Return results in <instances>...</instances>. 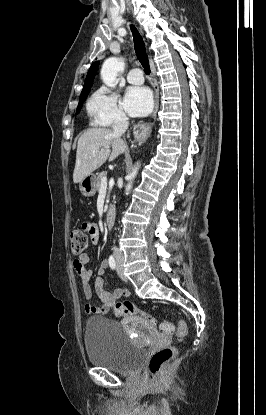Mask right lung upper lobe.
<instances>
[{"mask_svg": "<svg viewBox=\"0 0 266 415\" xmlns=\"http://www.w3.org/2000/svg\"><path fill=\"white\" fill-rule=\"evenodd\" d=\"M98 65H99V62L98 61L95 62V63H93L91 65V67H90V69L88 71V74L86 76L85 84H84V87H83V90L81 92L80 97H83L85 95H88V93L90 91V88H91V86L93 84V80H94V77L96 75V72H97V69H98Z\"/></svg>", "mask_w": 266, "mask_h": 415, "instance_id": "cb5924a9", "label": "right lung upper lobe"}]
</instances>
